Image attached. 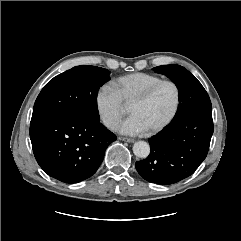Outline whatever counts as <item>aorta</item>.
<instances>
[{"instance_id": "obj_1", "label": "aorta", "mask_w": 241, "mask_h": 241, "mask_svg": "<svg viewBox=\"0 0 241 241\" xmlns=\"http://www.w3.org/2000/svg\"><path fill=\"white\" fill-rule=\"evenodd\" d=\"M133 153L139 158H146L150 153V146L145 141H137L133 145Z\"/></svg>"}]
</instances>
